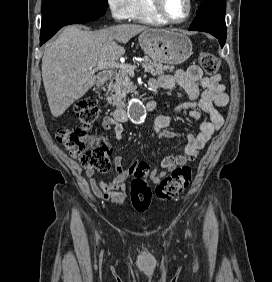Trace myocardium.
<instances>
[{"instance_id":"obj_1","label":"myocardium","mask_w":272,"mask_h":282,"mask_svg":"<svg viewBox=\"0 0 272 282\" xmlns=\"http://www.w3.org/2000/svg\"><path fill=\"white\" fill-rule=\"evenodd\" d=\"M187 2V13L186 15L181 19H174L170 17L167 12L165 11L162 0H150V8L163 20H165L168 23H183L186 20H188L192 14L193 11V2L192 0H186Z\"/></svg>"}]
</instances>
